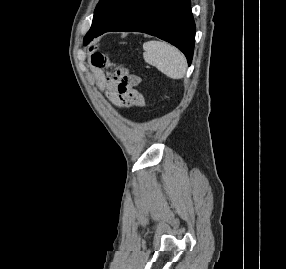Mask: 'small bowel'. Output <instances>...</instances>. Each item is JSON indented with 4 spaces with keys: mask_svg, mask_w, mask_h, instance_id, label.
Here are the masks:
<instances>
[{
    "mask_svg": "<svg viewBox=\"0 0 286 269\" xmlns=\"http://www.w3.org/2000/svg\"><path fill=\"white\" fill-rule=\"evenodd\" d=\"M92 74L95 85L99 91H106L110 101L117 108H125L126 100H122V95L119 94L120 88L118 83H121L118 78L120 70H114V64L105 55L93 50L92 52ZM141 106V105H138Z\"/></svg>",
    "mask_w": 286,
    "mask_h": 269,
    "instance_id": "c3829d8e",
    "label": "small bowel"
}]
</instances>
